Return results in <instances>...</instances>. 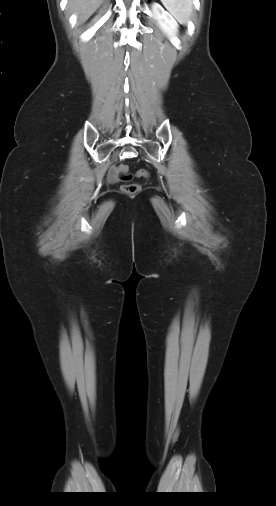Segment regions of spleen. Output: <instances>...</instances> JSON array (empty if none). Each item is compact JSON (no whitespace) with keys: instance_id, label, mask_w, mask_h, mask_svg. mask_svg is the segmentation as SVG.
Here are the masks:
<instances>
[{"instance_id":"1","label":"spleen","mask_w":276,"mask_h":506,"mask_svg":"<svg viewBox=\"0 0 276 506\" xmlns=\"http://www.w3.org/2000/svg\"><path fill=\"white\" fill-rule=\"evenodd\" d=\"M161 2L179 23H187L192 13V0H161Z\"/></svg>"}]
</instances>
